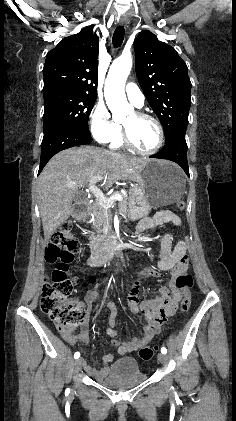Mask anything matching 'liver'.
<instances>
[{"label": "liver", "instance_id": "liver-1", "mask_svg": "<svg viewBox=\"0 0 236 421\" xmlns=\"http://www.w3.org/2000/svg\"><path fill=\"white\" fill-rule=\"evenodd\" d=\"M148 160L96 146H72L52 156L38 178V204L46 243L71 215L77 188L66 184L82 186L93 176H104L99 182L108 190L116 180H136L139 168Z\"/></svg>", "mask_w": 236, "mask_h": 421}]
</instances>
